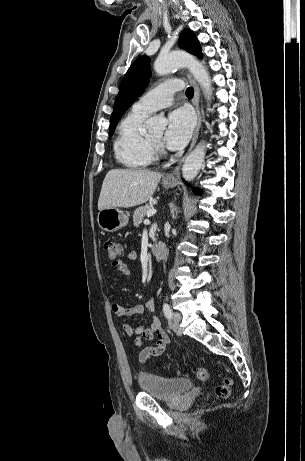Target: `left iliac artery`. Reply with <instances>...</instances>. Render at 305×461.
<instances>
[{
  "instance_id": "44dca946",
  "label": "left iliac artery",
  "mask_w": 305,
  "mask_h": 461,
  "mask_svg": "<svg viewBox=\"0 0 305 461\" xmlns=\"http://www.w3.org/2000/svg\"><path fill=\"white\" fill-rule=\"evenodd\" d=\"M163 313L167 319L170 320L172 318V310L167 303L163 304Z\"/></svg>"
}]
</instances>
